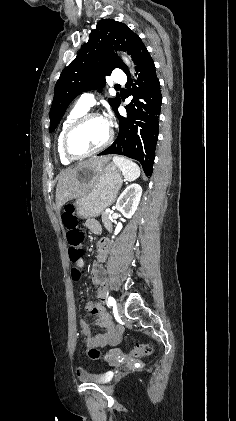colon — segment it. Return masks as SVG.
I'll list each match as a JSON object with an SVG mask.
<instances>
[{
	"label": "colon",
	"instance_id": "obj_1",
	"mask_svg": "<svg viewBox=\"0 0 236 421\" xmlns=\"http://www.w3.org/2000/svg\"><path fill=\"white\" fill-rule=\"evenodd\" d=\"M62 223L67 230V242L69 245V257L73 263H78L83 256L82 244L84 241V233L78 227V219L75 214L73 205L65 206L61 215ZM82 270L78 267L72 269V278L78 281L81 278ZM154 346L151 343L137 344L130 352L131 357H145L153 353ZM88 357L92 360L101 358L102 353L96 348L87 349Z\"/></svg>",
	"mask_w": 236,
	"mask_h": 421
}]
</instances>
